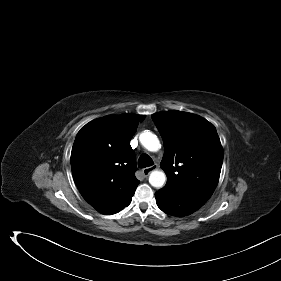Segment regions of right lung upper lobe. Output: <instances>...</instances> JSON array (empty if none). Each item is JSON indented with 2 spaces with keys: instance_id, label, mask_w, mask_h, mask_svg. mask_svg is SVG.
Instances as JSON below:
<instances>
[{
  "instance_id": "obj_1",
  "label": "right lung upper lobe",
  "mask_w": 281,
  "mask_h": 281,
  "mask_svg": "<svg viewBox=\"0 0 281 281\" xmlns=\"http://www.w3.org/2000/svg\"><path fill=\"white\" fill-rule=\"evenodd\" d=\"M144 116L110 115L86 124L71 153L74 181L83 198L98 212L114 214L128 206L139 184L129 144Z\"/></svg>"
}]
</instances>
